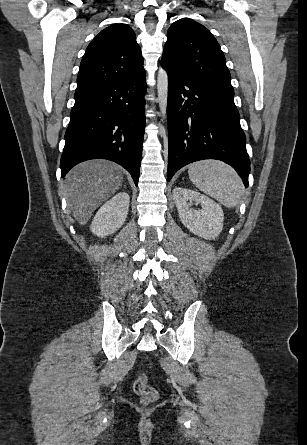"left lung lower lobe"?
Listing matches in <instances>:
<instances>
[{
  "label": "left lung lower lobe",
  "mask_w": 307,
  "mask_h": 445,
  "mask_svg": "<svg viewBox=\"0 0 307 445\" xmlns=\"http://www.w3.org/2000/svg\"><path fill=\"white\" fill-rule=\"evenodd\" d=\"M161 65L168 73L167 179L191 162L218 159L231 165L247 187L250 161L233 97L206 90Z\"/></svg>",
  "instance_id": "obj_1"
}]
</instances>
